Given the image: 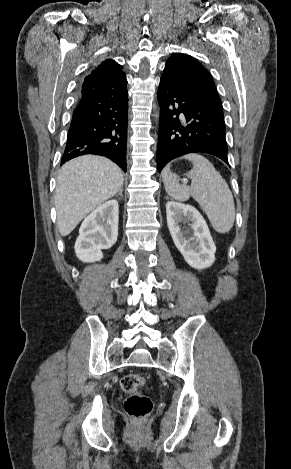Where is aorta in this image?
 <instances>
[{
	"label": "aorta",
	"instance_id": "aorta-1",
	"mask_svg": "<svg viewBox=\"0 0 291 469\" xmlns=\"http://www.w3.org/2000/svg\"><path fill=\"white\" fill-rule=\"evenodd\" d=\"M159 118V114H156V119Z\"/></svg>",
	"mask_w": 291,
	"mask_h": 469
}]
</instances>
